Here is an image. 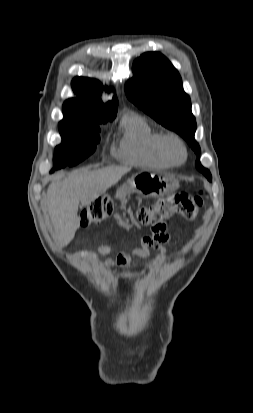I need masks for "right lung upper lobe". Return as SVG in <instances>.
<instances>
[{"label": "right lung upper lobe", "mask_w": 253, "mask_h": 413, "mask_svg": "<svg viewBox=\"0 0 253 413\" xmlns=\"http://www.w3.org/2000/svg\"><path fill=\"white\" fill-rule=\"evenodd\" d=\"M72 88L77 98L68 99L63 104L64 120H104L116 115V97L106 104L100 99L103 86L95 79L76 77Z\"/></svg>", "instance_id": "cb5924a9"}]
</instances>
